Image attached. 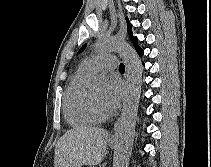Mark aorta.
I'll use <instances>...</instances> for the list:
<instances>
[{
    "label": "aorta",
    "instance_id": "762f6f07",
    "mask_svg": "<svg viewBox=\"0 0 211 167\" xmlns=\"http://www.w3.org/2000/svg\"><path fill=\"white\" fill-rule=\"evenodd\" d=\"M98 52H119L126 64L128 91L125 98L124 113L121 123L119 148L114 167H127L134 140L138 107L142 85V64L136 51L125 41L115 36H102L96 43ZM106 77L97 75L94 78L96 86H103Z\"/></svg>",
    "mask_w": 211,
    "mask_h": 167
}]
</instances>
